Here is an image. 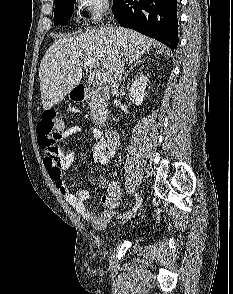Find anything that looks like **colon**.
<instances>
[{
    "label": "colon",
    "instance_id": "5ec220e1",
    "mask_svg": "<svg viewBox=\"0 0 233 294\" xmlns=\"http://www.w3.org/2000/svg\"><path fill=\"white\" fill-rule=\"evenodd\" d=\"M65 123L54 110L45 111L37 126L38 142L46 156H59V143L63 138Z\"/></svg>",
    "mask_w": 233,
    "mask_h": 294
}]
</instances>
